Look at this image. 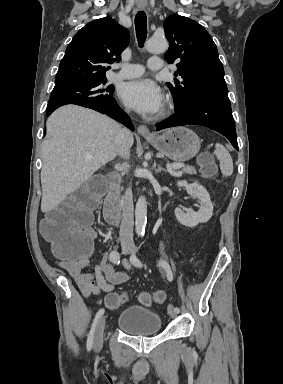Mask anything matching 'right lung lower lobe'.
Returning <instances> with one entry per match:
<instances>
[{"instance_id":"right-lung-lower-lobe-1","label":"right lung lower lobe","mask_w":283,"mask_h":384,"mask_svg":"<svg viewBox=\"0 0 283 384\" xmlns=\"http://www.w3.org/2000/svg\"><path fill=\"white\" fill-rule=\"evenodd\" d=\"M83 107L94 109L102 114H106L109 117L117 120L118 122L123 123L133 130V125L131 123L128 115L119 107L115 99L99 101V102H87L78 104ZM58 107H47L46 113L49 116L55 109Z\"/></svg>"}]
</instances>
